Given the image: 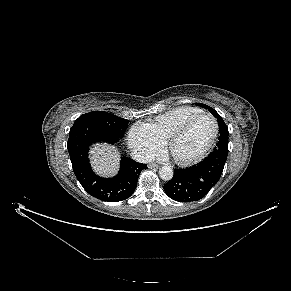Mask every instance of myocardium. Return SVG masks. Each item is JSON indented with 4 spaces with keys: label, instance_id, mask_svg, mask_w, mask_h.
<instances>
[{
    "label": "myocardium",
    "instance_id": "myocardium-1",
    "mask_svg": "<svg viewBox=\"0 0 291 291\" xmlns=\"http://www.w3.org/2000/svg\"><path fill=\"white\" fill-rule=\"evenodd\" d=\"M202 117H208L213 121L214 124V132L212 135V138L210 140V142L208 143V145L196 156L189 158V159H179L174 157L171 153H170V149L172 144L179 139L185 132L186 130L198 119L202 118ZM218 133H219V125L218 122L216 120V118L210 114V113H205L202 112L200 114H197L191 118H189L188 120H186L183 124H181L177 129H175L164 141V149L171 155L172 159L174 160V162L180 166H189L192 164H195L199 161H201L202 159H204L208 153L211 151V149L213 148V146L215 145V142L217 140L218 137Z\"/></svg>",
    "mask_w": 291,
    "mask_h": 291
}]
</instances>
